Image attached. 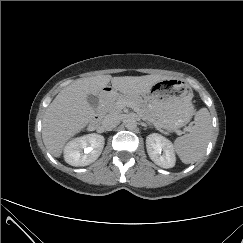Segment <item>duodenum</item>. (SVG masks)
I'll return each instance as SVG.
<instances>
[{"label":"duodenum","instance_id":"duodenum-1","mask_svg":"<svg viewBox=\"0 0 243 243\" xmlns=\"http://www.w3.org/2000/svg\"><path fill=\"white\" fill-rule=\"evenodd\" d=\"M113 94V90L111 88H105L101 95H100V101H99V108L97 110V112L95 113V115L91 118L90 123H89V128L90 129H94L97 127V125L99 124L103 112H104V108L107 104V102L109 101V99L111 98Z\"/></svg>","mask_w":243,"mask_h":243}]
</instances>
